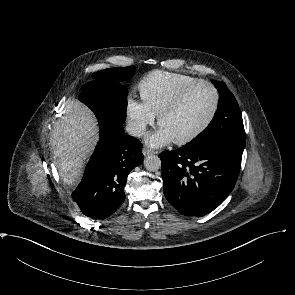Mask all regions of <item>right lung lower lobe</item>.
Listing matches in <instances>:
<instances>
[{
	"instance_id": "98d812e1",
	"label": "right lung lower lobe",
	"mask_w": 295,
	"mask_h": 295,
	"mask_svg": "<svg viewBox=\"0 0 295 295\" xmlns=\"http://www.w3.org/2000/svg\"><path fill=\"white\" fill-rule=\"evenodd\" d=\"M98 123L99 141L72 198L85 216L105 219L122 205L126 178L143 154L141 142L125 135L121 123Z\"/></svg>"
}]
</instances>
